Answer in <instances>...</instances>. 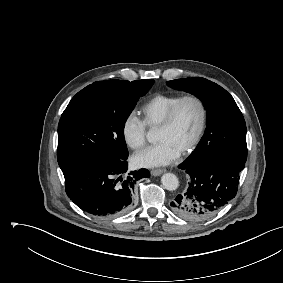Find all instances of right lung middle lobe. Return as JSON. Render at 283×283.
I'll list each match as a JSON object with an SVG mask.
<instances>
[{
    "mask_svg": "<svg viewBox=\"0 0 283 283\" xmlns=\"http://www.w3.org/2000/svg\"><path fill=\"white\" fill-rule=\"evenodd\" d=\"M153 83L148 79L120 80L89 85L78 92L58 125L57 159L61 170L95 156L127 157L125 122Z\"/></svg>",
    "mask_w": 283,
    "mask_h": 283,
    "instance_id": "1",
    "label": "right lung middle lobe"
}]
</instances>
